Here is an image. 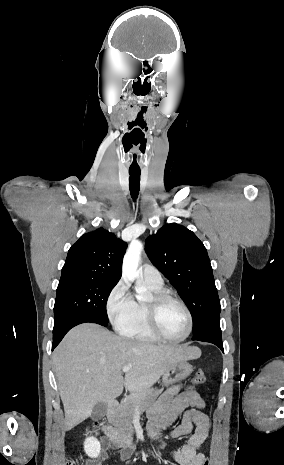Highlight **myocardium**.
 I'll return each instance as SVG.
<instances>
[{"label":"myocardium","instance_id":"1","mask_svg":"<svg viewBox=\"0 0 284 465\" xmlns=\"http://www.w3.org/2000/svg\"><path fill=\"white\" fill-rule=\"evenodd\" d=\"M170 302L179 305L185 311L188 318V329L186 334L182 338L176 340L165 337L161 333L159 327L161 311L163 307ZM145 306L148 317V321L146 322L147 329L158 341L166 344H180L189 338L194 328V318L190 309L183 301L166 291H160L154 293L145 303Z\"/></svg>","mask_w":284,"mask_h":465}]
</instances>
